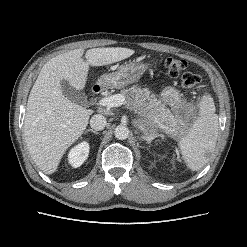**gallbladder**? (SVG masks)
Here are the masks:
<instances>
[{
	"label": "gallbladder",
	"instance_id": "1",
	"mask_svg": "<svg viewBox=\"0 0 247 247\" xmlns=\"http://www.w3.org/2000/svg\"><path fill=\"white\" fill-rule=\"evenodd\" d=\"M61 86L63 94L68 99L78 104H81L82 106H85L88 103L87 96L83 92L74 89L72 86L69 85L67 81L62 80Z\"/></svg>",
	"mask_w": 247,
	"mask_h": 247
}]
</instances>
